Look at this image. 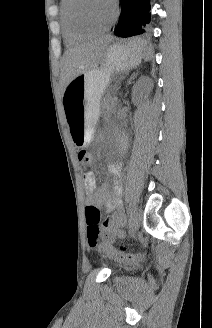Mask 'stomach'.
Listing matches in <instances>:
<instances>
[{
  "label": "stomach",
  "instance_id": "0dacf381",
  "mask_svg": "<svg viewBox=\"0 0 212 328\" xmlns=\"http://www.w3.org/2000/svg\"><path fill=\"white\" fill-rule=\"evenodd\" d=\"M139 40L127 46L113 45L103 58L101 68L80 73L65 87L64 105L66 123L76 146L84 147L93 138L99 115L100 100L114 71H124L139 64L142 47H134Z\"/></svg>",
  "mask_w": 212,
  "mask_h": 328
}]
</instances>
